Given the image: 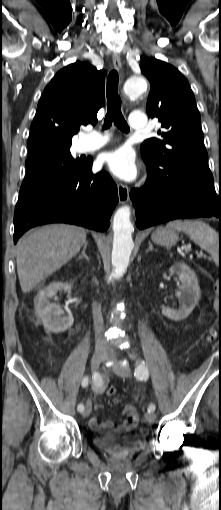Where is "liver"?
<instances>
[{
  "label": "liver",
  "instance_id": "liver-1",
  "mask_svg": "<svg viewBox=\"0 0 221 510\" xmlns=\"http://www.w3.org/2000/svg\"><path fill=\"white\" fill-rule=\"evenodd\" d=\"M86 231L66 224L47 225L25 234L16 246L17 273L23 293L30 292L80 251Z\"/></svg>",
  "mask_w": 221,
  "mask_h": 510
}]
</instances>
